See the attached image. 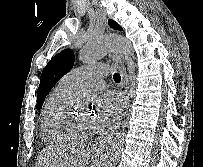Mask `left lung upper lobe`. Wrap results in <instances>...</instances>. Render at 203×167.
Here are the masks:
<instances>
[{
	"mask_svg": "<svg viewBox=\"0 0 203 167\" xmlns=\"http://www.w3.org/2000/svg\"><path fill=\"white\" fill-rule=\"evenodd\" d=\"M109 25L115 30H122L113 20H109ZM73 63L74 54L70 49L63 50L48 62L42 71L40 85L37 90V109H41L49 91L62 76L71 70Z\"/></svg>",
	"mask_w": 203,
	"mask_h": 167,
	"instance_id": "obj_1",
	"label": "left lung upper lobe"
}]
</instances>
